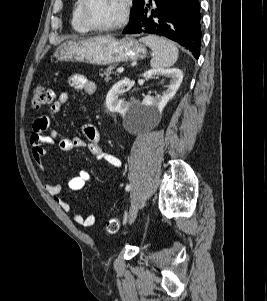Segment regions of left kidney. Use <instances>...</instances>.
I'll use <instances>...</instances> for the list:
<instances>
[{"mask_svg":"<svg viewBox=\"0 0 267 301\" xmlns=\"http://www.w3.org/2000/svg\"><path fill=\"white\" fill-rule=\"evenodd\" d=\"M142 76L145 78H151L152 76H164L170 79L167 90L164 91L162 95L156 97L147 95L143 99L142 105L152 107L157 110L163 109L169 100L174 97L183 80V73L178 68L151 69L146 71ZM128 85V80H121L110 89L106 96V107L110 112L125 113L129 109L131 105L130 102H126L124 99L118 98L121 91Z\"/></svg>","mask_w":267,"mask_h":301,"instance_id":"1","label":"left kidney"}]
</instances>
